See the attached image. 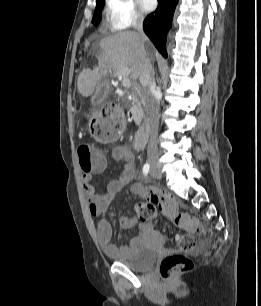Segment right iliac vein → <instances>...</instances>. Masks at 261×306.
Returning <instances> with one entry per match:
<instances>
[{
	"mask_svg": "<svg viewBox=\"0 0 261 306\" xmlns=\"http://www.w3.org/2000/svg\"><path fill=\"white\" fill-rule=\"evenodd\" d=\"M153 174L158 177V178H161L162 177V173L161 171L158 169V167L153 163L152 164V168H151Z\"/></svg>",
	"mask_w": 261,
	"mask_h": 306,
	"instance_id": "63e3f726",
	"label": "right iliac vein"
}]
</instances>
